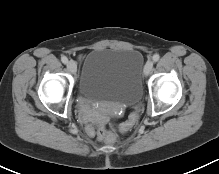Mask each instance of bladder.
I'll return each instance as SVG.
<instances>
[{
    "mask_svg": "<svg viewBox=\"0 0 219 174\" xmlns=\"http://www.w3.org/2000/svg\"><path fill=\"white\" fill-rule=\"evenodd\" d=\"M143 64L136 49H93L84 57L78 93L95 102L136 105L143 93Z\"/></svg>",
    "mask_w": 219,
    "mask_h": 174,
    "instance_id": "obj_1",
    "label": "bladder"
}]
</instances>
